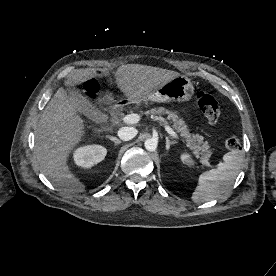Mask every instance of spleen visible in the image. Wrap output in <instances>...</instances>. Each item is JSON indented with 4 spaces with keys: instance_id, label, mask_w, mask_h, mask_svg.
Returning a JSON list of instances; mask_svg holds the SVG:
<instances>
[{
    "instance_id": "3e777b00",
    "label": "spleen",
    "mask_w": 276,
    "mask_h": 276,
    "mask_svg": "<svg viewBox=\"0 0 276 276\" xmlns=\"http://www.w3.org/2000/svg\"><path fill=\"white\" fill-rule=\"evenodd\" d=\"M244 160L243 152L233 150L223 156V162L216 168L202 173L192 194V201L203 203L219 198L234 183Z\"/></svg>"
}]
</instances>
